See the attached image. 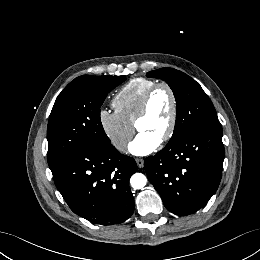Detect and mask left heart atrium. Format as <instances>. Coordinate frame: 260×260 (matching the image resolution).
<instances>
[{
    "label": "left heart atrium",
    "instance_id": "39dd6f15",
    "mask_svg": "<svg viewBox=\"0 0 260 260\" xmlns=\"http://www.w3.org/2000/svg\"><path fill=\"white\" fill-rule=\"evenodd\" d=\"M160 140L148 133L140 132L128 145V151L136 156H144L157 149Z\"/></svg>",
    "mask_w": 260,
    "mask_h": 260
}]
</instances>
